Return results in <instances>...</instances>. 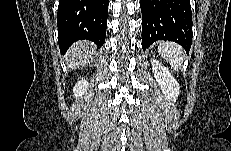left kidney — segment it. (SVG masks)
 I'll list each match as a JSON object with an SVG mask.
<instances>
[{
	"instance_id": "left-kidney-1",
	"label": "left kidney",
	"mask_w": 231,
	"mask_h": 151,
	"mask_svg": "<svg viewBox=\"0 0 231 151\" xmlns=\"http://www.w3.org/2000/svg\"><path fill=\"white\" fill-rule=\"evenodd\" d=\"M152 71L154 73L155 79L167 100L176 101L180 93V87L178 82L172 76V74L167 70L165 66L162 65L158 60H152Z\"/></svg>"
}]
</instances>
